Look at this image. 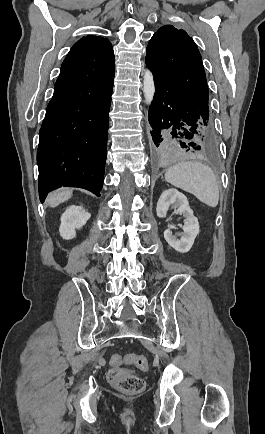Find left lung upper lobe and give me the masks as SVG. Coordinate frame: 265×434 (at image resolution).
Returning a JSON list of instances; mask_svg holds the SVG:
<instances>
[{
  "label": "left lung upper lobe",
  "mask_w": 265,
  "mask_h": 434,
  "mask_svg": "<svg viewBox=\"0 0 265 434\" xmlns=\"http://www.w3.org/2000/svg\"><path fill=\"white\" fill-rule=\"evenodd\" d=\"M148 59L200 107L209 109L208 86L198 48L192 38L171 25L161 27L147 46Z\"/></svg>",
  "instance_id": "5c2ea615"
}]
</instances>
